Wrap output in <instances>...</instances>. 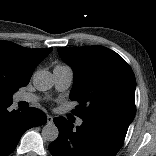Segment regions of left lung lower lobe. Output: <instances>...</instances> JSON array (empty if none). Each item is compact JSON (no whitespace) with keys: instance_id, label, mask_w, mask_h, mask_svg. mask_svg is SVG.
Masks as SVG:
<instances>
[{"instance_id":"left-lung-lower-lobe-1","label":"left lung lower lobe","mask_w":156,"mask_h":156,"mask_svg":"<svg viewBox=\"0 0 156 156\" xmlns=\"http://www.w3.org/2000/svg\"><path fill=\"white\" fill-rule=\"evenodd\" d=\"M58 138L49 145L53 156H115L128 126L113 119H83L76 129L64 117L54 118Z\"/></svg>"}]
</instances>
